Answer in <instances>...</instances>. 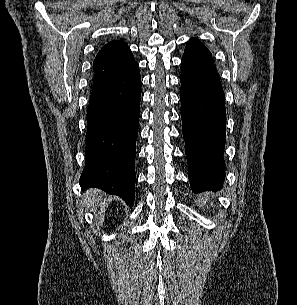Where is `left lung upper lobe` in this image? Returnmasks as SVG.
<instances>
[{
  "label": "left lung upper lobe",
  "instance_id": "1",
  "mask_svg": "<svg viewBox=\"0 0 297 305\" xmlns=\"http://www.w3.org/2000/svg\"><path fill=\"white\" fill-rule=\"evenodd\" d=\"M214 67L211 52L197 39H190L181 60V69Z\"/></svg>",
  "mask_w": 297,
  "mask_h": 305
}]
</instances>
